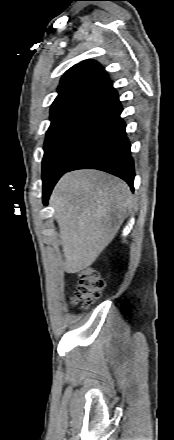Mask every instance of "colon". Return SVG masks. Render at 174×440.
<instances>
[{
	"label": "colon",
	"mask_w": 174,
	"mask_h": 440,
	"mask_svg": "<svg viewBox=\"0 0 174 440\" xmlns=\"http://www.w3.org/2000/svg\"><path fill=\"white\" fill-rule=\"evenodd\" d=\"M78 276L79 284L74 292L72 303L86 308L91 302L100 297L104 282L97 270L91 267L80 270Z\"/></svg>",
	"instance_id": "5ec220e1"
}]
</instances>
